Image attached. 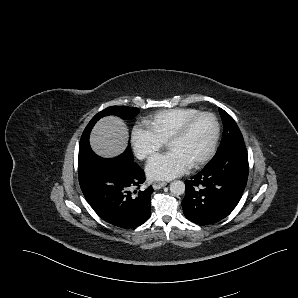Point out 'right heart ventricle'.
Listing matches in <instances>:
<instances>
[{
  "label": "right heart ventricle",
  "instance_id": "1",
  "mask_svg": "<svg viewBox=\"0 0 298 298\" xmlns=\"http://www.w3.org/2000/svg\"><path fill=\"white\" fill-rule=\"evenodd\" d=\"M200 111L195 108H172L160 110L154 113L145 122L148 123L150 130L162 141L173 131L183 120L190 118Z\"/></svg>",
  "mask_w": 298,
  "mask_h": 298
}]
</instances>
